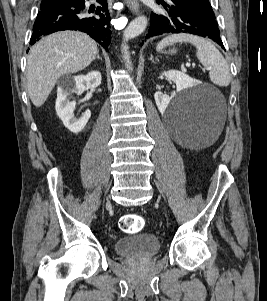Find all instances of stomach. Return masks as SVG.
Segmentation results:
<instances>
[{"label": "stomach", "mask_w": 267, "mask_h": 301, "mask_svg": "<svg viewBox=\"0 0 267 301\" xmlns=\"http://www.w3.org/2000/svg\"><path fill=\"white\" fill-rule=\"evenodd\" d=\"M170 52H171V53H174V52H175V50H171Z\"/></svg>", "instance_id": "obj_1"}]
</instances>
